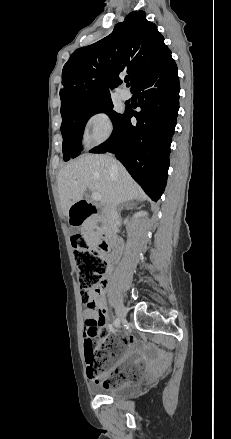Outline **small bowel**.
Returning <instances> with one entry per match:
<instances>
[{
  "instance_id": "obj_1",
  "label": "small bowel",
  "mask_w": 231,
  "mask_h": 439,
  "mask_svg": "<svg viewBox=\"0 0 231 439\" xmlns=\"http://www.w3.org/2000/svg\"><path fill=\"white\" fill-rule=\"evenodd\" d=\"M91 300L95 303V306L93 307L88 305L86 310L84 311V343L94 345L95 343H100L101 341L97 337L98 329L106 325L107 311L105 307V300L102 295V290L93 293L91 296ZM123 338L126 341L125 354L123 355L119 363L113 368L112 372L119 368L125 369V366L129 363L130 358L136 354H140L136 348L135 341L131 336H124ZM140 356L148 361V367L151 371L154 370L157 365L162 362V359L156 362L153 358L145 353H141Z\"/></svg>"
}]
</instances>
